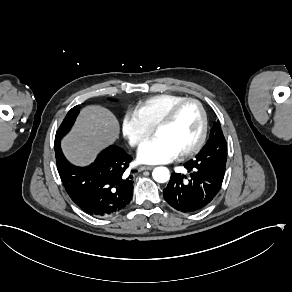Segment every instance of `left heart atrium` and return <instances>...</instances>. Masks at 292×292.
Here are the masks:
<instances>
[{
  "mask_svg": "<svg viewBox=\"0 0 292 292\" xmlns=\"http://www.w3.org/2000/svg\"><path fill=\"white\" fill-rule=\"evenodd\" d=\"M179 148L168 138L156 135L146 140L138 149L140 162L148 164L166 163L180 155Z\"/></svg>",
  "mask_w": 292,
  "mask_h": 292,
  "instance_id": "1",
  "label": "left heart atrium"
}]
</instances>
